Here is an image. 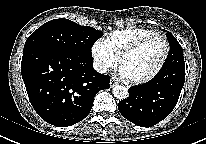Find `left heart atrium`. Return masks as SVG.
<instances>
[{"label": "left heart atrium", "mask_w": 206, "mask_h": 144, "mask_svg": "<svg viewBox=\"0 0 206 144\" xmlns=\"http://www.w3.org/2000/svg\"><path fill=\"white\" fill-rule=\"evenodd\" d=\"M119 75L124 79H130L123 67L119 68Z\"/></svg>", "instance_id": "obj_1"}]
</instances>
